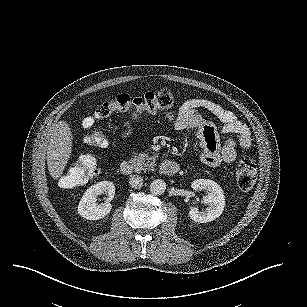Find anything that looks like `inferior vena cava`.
Here are the masks:
<instances>
[{"instance_id": "inferior-vena-cava-1", "label": "inferior vena cava", "mask_w": 307, "mask_h": 307, "mask_svg": "<svg viewBox=\"0 0 307 307\" xmlns=\"http://www.w3.org/2000/svg\"><path fill=\"white\" fill-rule=\"evenodd\" d=\"M129 185L133 189H140L143 186V178L140 175H132L129 179Z\"/></svg>"}]
</instances>
